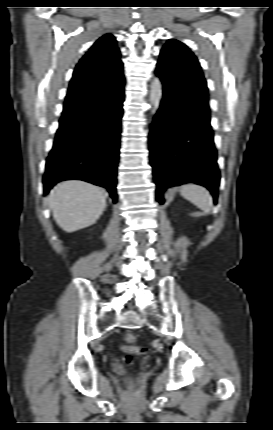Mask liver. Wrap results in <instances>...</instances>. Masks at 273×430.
<instances>
[{
	"label": "liver",
	"instance_id": "liver-1",
	"mask_svg": "<svg viewBox=\"0 0 273 430\" xmlns=\"http://www.w3.org/2000/svg\"><path fill=\"white\" fill-rule=\"evenodd\" d=\"M48 202L56 223L69 233L94 224L106 207L103 190L79 180L57 184Z\"/></svg>",
	"mask_w": 273,
	"mask_h": 430
}]
</instances>
